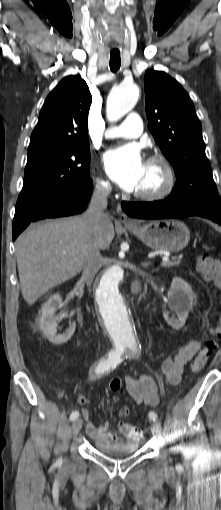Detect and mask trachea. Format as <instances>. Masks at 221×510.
Segmentation results:
<instances>
[{
	"instance_id": "3493384b",
	"label": "trachea",
	"mask_w": 221,
	"mask_h": 510,
	"mask_svg": "<svg viewBox=\"0 0 221 510\" xmlns=\"http://www.w3.org/2000/svg\"><path fill=\"white\" fill-rule=\"evenodd\" d=\"M110 69L112 72H117L121 66V57L119 52L110 53Z\"/></svg>"
}]
</instances>
